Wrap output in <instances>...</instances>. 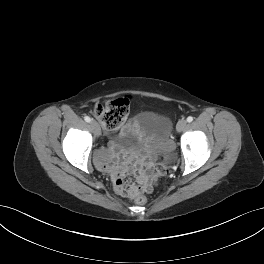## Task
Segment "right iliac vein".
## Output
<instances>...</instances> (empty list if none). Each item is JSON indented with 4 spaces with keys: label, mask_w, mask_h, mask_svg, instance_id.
I'll return each mask as SVG.
<instances>
[{
    "label": "right iliac vein",
    "mask_w": 264,
    "mask_h": 264,
    "mask_svg": "<svg viewBox=\"0 0 264 264\" xmlns=\"http://www.w3.org/2000/svg\"><path fill=\"white\" fill-rule=\"evenodd\" d=\"M91 126H92V128H93V130H94L95 135H96L97 137H99L100 134H101V130H100V126H99V124H98L96 121H92V122H91Z\"/></svg>",
    "instance_id": "right-iliac-vein-1"
}]
</instances>
